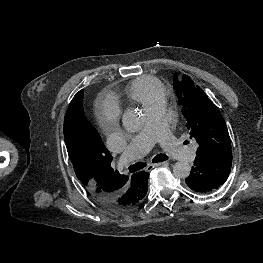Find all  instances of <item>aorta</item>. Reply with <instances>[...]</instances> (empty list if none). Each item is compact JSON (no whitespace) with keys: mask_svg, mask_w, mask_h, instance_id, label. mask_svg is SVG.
<instances>
[{"mask_svg":"<svg viewBox=\"0 0 263 263\" xmlns=\"http://www.w3.org/2000/svg\"><path fill=\"white\" fill-rule=\"evenodd\" d=\"M122 123L126 131L134 133L143 127L144 119L138 111L129 109L123 114ZM190 172L191 166L185 161H178L173 165V174L177 178H187Z\"/></svg>","mask_w":263,"mask_h":263,"instance_id":"1","label":"aorta"}]
</instances>
